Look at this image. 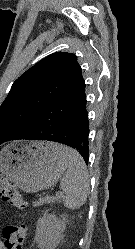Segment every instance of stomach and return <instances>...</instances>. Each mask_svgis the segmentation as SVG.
Segmentation results:
<instances>
[{
	"mask_svg": "<svg viewBox=\"0 0 135 249\" xmlns=\"http://www.w3.org/2000/svg\"><path fill=\"white\" fill-rule=\"evenodd\" d=\"M66 167V162L53 151L49 142H14L0 151V171L28 193L55 185Z\"/></svg>",
	"mask_w": 135,
	"mask_h": 249,
	"instance_id": "obj_1",
	"label": "stomach"
}]
</instances>
